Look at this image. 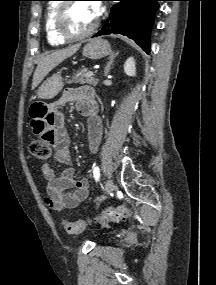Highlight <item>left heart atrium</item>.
<instances>
[{
  "mask_svg": "<svg viewBox=\"0 0 216 285\" xmlns=\"http://www.w3.org/2000/svg\"><path fill=\"white\" fill-rule=\"evenodd\" d=\"M91 5L93 7V10H94L96 16L98 17L101 14V12H102L101 4L99 2H94Z\"/></svg>",
  "mask_w": 216,
  "mask_h": 285,
  "instance_id": "39dd6f15",
  "label": "left heart atrium"
}]
</instances>
